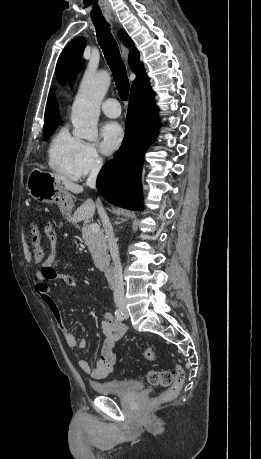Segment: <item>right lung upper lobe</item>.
<instances>
[{
    "mask_svg": "<svg viewBox=\"0 0 261 459\" xmlns=\"http://www.w3.org/2000/svg\"><path fill=\"white\" fill-rule=\"evenodd\" d=\"M119 36L120 39L123 40L125 46L131 47L133 45L132 40L124 31H120ZM139 58L140 55L138 50L135 47L132 48L129 53V63L132 70L136 74V79L132 83L130 95H134L151 88L149 78L147 77L144 69V65L142 62H140ZM44 121V125L60 122V115L58 113V106L53 94V90H51L48 95Z\"/></svg>",
    "mask_w": 261,
    "mask_h": 459,
    "instance_id": "obj_1",
    "label": "right lung upper lobe"
}]
</instances>
